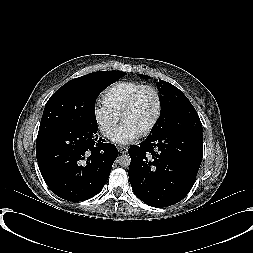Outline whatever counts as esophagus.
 <instances>
[{"label":"esophagus","mask_w":253,"mask_h":253,"mask_svg":"<svg viewBox=\"0 0 253 253\" xmlns=\"http://www.w3.org/2000/svg\"><path fill=\"white\" fill-rule=\"evenodd\" d=\"M118 150H119L120 153L125 154V153H127L128 148L125 147V146H119Z\"/></svg>","instance_id":"obj_1"}]
</instances>
